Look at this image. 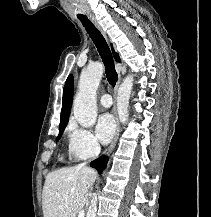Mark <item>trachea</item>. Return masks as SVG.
Returning <instances> with one entry per match:
<instances>
[{
  "label": "trachea",
  "mask_w": 211,
  "mask_h": 217,
  "mask_svg": "<svg viewBox=\"0 0 211 217\" xmlns=\"http://www.w3.org/2000/svg\"><path fill=\"white\" fill-rule=\"evenodd\" d=\"M79 20L82 22V25L85 27L87 33L94 42L104 63L107 80L109 84L114 87L118 80V75L115 70L112 53L105 38L87 17H80Z\"/></svg>",
  "instance_id": "trachea-1"
}]
</instances>
